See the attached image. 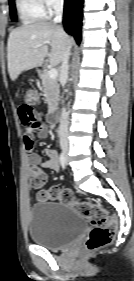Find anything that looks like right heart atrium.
<instances>
[{
    "label": "right heart atrium",
    "mask_w": 134,
    "mask_h": 281,
    "mask_svg": "<svg viewBox=\"0 0 134 281\" xmlns=\"http://www.w3.org/2000/svg\"><path fill=\"white\" fill-rule=\"evenodd\" d=\"M43 8L45 9L46 13L50 14L59 9L62 4L63 0H40Z\"/></svg>",
    "instance_id": "obj_1"
}]
</instances>
